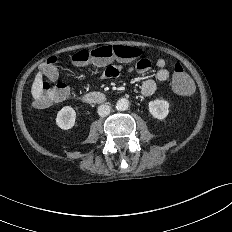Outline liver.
Instances as JSON below:
<instances>
[{
  "instance_id": "obj_1",
  "label": "liver",
  "mask_w": 232,
  "mask_h": 232,
  "mask_svg": "<svg viewBox=\"0 0 232 232\" xmlns=\"http://www.w3.org/2000/svg\"><path fill=\"white\" fill-rule=\"evenodd\" d=\"M43 92L42 74L38 72L32 84L31 93L34 99H39Z\"/></svg>"
}]
</instances>
